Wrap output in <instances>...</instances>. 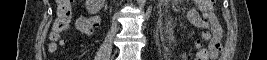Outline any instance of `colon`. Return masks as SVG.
I'll return each mask as SVG.
<instances>
[{"instance_id": "obj_1", "label": "colon", "mask_w": 267, "mask_h": 60, "mask_svg": "<svg viewBox=\"0 0 267 60\" xmlns=\"http://www.w3.org/2000/svg\"><path fill=\"white\" fill-rule=\"evenodd\" d=\"M215 0H198L197 4L202 12L203 16H207L211 13L213 6L215 4ZM72 1L71 0H58L57 1V17L52 26L51 32V41L52 47H55L57 43L60 42L61 36L66 33L71 26V15H72ZM87 29H91L92 26L90 24H85ZM197 59H200L199 50L195 54Z\"/></svg>"}]
</instances>
